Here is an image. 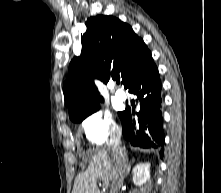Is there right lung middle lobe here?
I'll return each instance as SVG.
<instances>
[{"mask_svg":"<svg viewBox=\"0 0 221 193\" xmlns=\"http://www.w3.org/2000/svg\"><path fill=\"white\" fill-rule=\"evenodd\" d=\"M95 111H97V110H95ZM95 111L90 112V113H88V114H86V115H84V116H78V117H76V118H73V121H75V122H80V121H82L83 119H85L87 116H89L90 114L94 113ZM118 114H119V116H120V118H121L123 112H119Z\"/></svg>","mask_w":221,"mask_h":193,"instance_id":"right-lung-middle-lobe-1","label":"right lung middle lobe"}]
</instances>
